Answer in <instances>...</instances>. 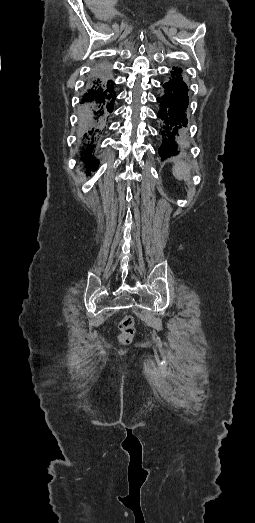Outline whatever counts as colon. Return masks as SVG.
Instances as JSON below:
<instances>
[{"label": "colon", "instance_id": "obj_1", "mask_svg": "<svg viewBox=\"0 0 255 523\" xmlns=\"http://www.w3.org/2000/svg\"><path fill=\"white\" fill-rule=\"evenodd\" d=\"M135 335V320L130 315H125L119 322L118 339L122 344H129L132 342Z\"/></svg>", "mask_w": 255, "mask_h": 523}]
</instances>
